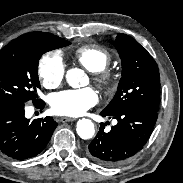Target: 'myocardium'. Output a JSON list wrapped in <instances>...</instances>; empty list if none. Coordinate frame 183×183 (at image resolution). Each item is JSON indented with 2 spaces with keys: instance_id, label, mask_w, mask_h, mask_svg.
<instances>
[{
  "instance_id": "obj_1",
  "label": "myocardium",
  "mask_w": 183,
  "mask_h": 183,
  "mask_svg": "<svg viewBox=\"0 0 183 183\" xmlns=\"http://www.w3.org/2000/svg\"><path fill=\"white\" fill-rule=\"evenodd\" d=\"M94 81L102 88H108L113 84L114 77L109 71L103 70L94 74Z\"/></svg>"
}]
</instances>
